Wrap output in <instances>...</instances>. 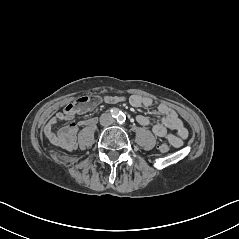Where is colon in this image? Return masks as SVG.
<instances>
[{
    "instance_id": "colon-1",
    "label": "colon",
    "mask_w": 239,
    "mask_h": 239,
    "mask_svg": "<svg viewBox=\"0 0 239 239\" xmlns=\"http://www.w3.org/2000/svg\"><path fill=\"white\" fill-rule=\"evenodd\" d=\"M91 103H92V98H90V97H82L78 101L75 102V106L77 108H84V107L88 106ZM159 149H160L161 152L166 153V152L169 151V145L167 143H162L159 146Z\"/></svg>"
}]
</instances>
